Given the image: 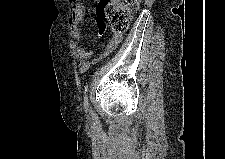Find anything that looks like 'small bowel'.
<instances>
[{"mask_svg": "<svg viewBox=\"0 0 225 159\" xmlns=\"http://www.w3.org/2000/svg\"><path fill=\"white\" fill-rule=\"evenodd\" d=\"M83 15H84V5L82 3L74 4V6L71 9L69 26L71 36L73 38L71 42V49L73 55L77 59V67L80 73H85L90 68L91 65L90 59L95 54L94 50H87L78 45V42L81 38V30L79 25L83 18ZM98 28H99L98 37L101 39L105 34L106 28L101 27L99 21H98ZM120 40L121 38H116L112 35L104 51L97 58L93 59V61H97L98 59L110 54L116 48Z\"/></svg>", "mask_w": 225, "mask_h": 159, "instance_id": "c3829d8e", "label": "small bowel"}]
</instances>
